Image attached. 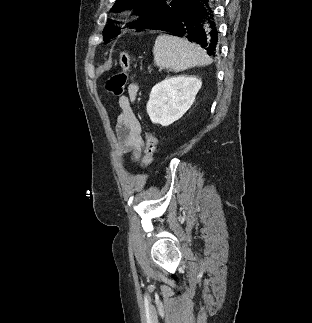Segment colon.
<instances>
[{
	"mask_svg": "<svg viewBox=\"0 0 312 323\" xmlns=\"http://www.w3.org/2000/svg\"><path fill=\"white\" fill-rule=\"evenodd\" d=\"M130 69V56H119V69L115 71L106 83L107 91L113 96L122 95L127 83V73ZM156 148V137L150 131L145 134V152L142 165L146 168L151 165Z\"/></svg>",
	"mask_w": 312,
	"mask_h": 323,
	"instance_id": "1",
	"label": "colon"
}]
</instances>
